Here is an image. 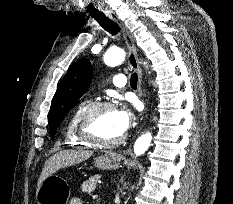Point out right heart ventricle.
Listing matches in <instances>:
<instances>
[{
  "label": "right heart ventricle",
  "instance_id": "right-heart-ventricle-1",
  "mask_svg": "<svg viewBox=\"0 0 233 204\" xmlns=\"http://www.w3.org/2000/svg\"><path fill=\"white\" fill-rule=\"evenodd\" d=\"M86 106H88V103L86 102H81L80 104H78V106L73 110L67 120L64 137L66 144H68L69 146L76 147L90 145L82 140L77 134L78 119Z\"/></svg>",
  "mask_w": 233,
  "mask_h": 204
}]
</instances>
